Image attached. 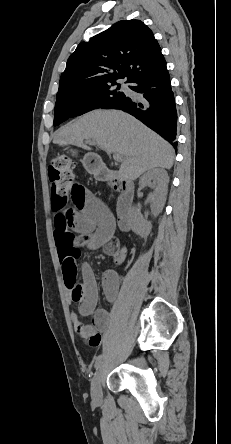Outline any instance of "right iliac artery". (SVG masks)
Returning a JSON list of instances; mask_svg holds the SVG:
<instances>
[{"instance_id": "obj_1", "label": "right iliac artery", "mask_w": 231, "mask_h": 444, "mask_svg": "<svg viewBox=\"0 0 231 444\" xmlns=\"http://www.w3.org/2000/svg\"><path fill=\"white\" fill-rule=\"evenodd\" d=\"M101 360H102V355H99V356L97 357V359H96V361H95V365H94V367H95L96 369H98V367H99V365H100V363H101Z\"/></svg>"}]
</instances>
